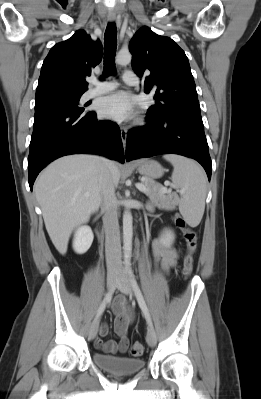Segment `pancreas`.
<instances>
[{
	"label": "pancreas",
	"mask_w": 261,
	"mask_h": 399,
	"mask_svg": "<svg viewBox=\"0 0 261 399\" xmlns=\"http://www.w3.org/2000/svg\"><path fill=\"white\" fill-rule=\"evenodd\" d=\"M144 185L147 188L146 195L153 201L157 202L160 207H169L176 205L177 197L175 194H170L163 191V186L153 179L146 177Z\"/></svg>",
	"instance_id": "cf45deb5"
}]
</instances>
